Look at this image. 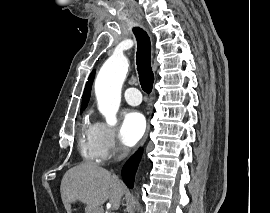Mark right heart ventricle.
Returning a JSON list of instances; mask_svg holds the SVG:
<instances>
[{
    "label": "right heart ventricle",
    "instance_id": "obj_1",
    "mask_svg": "<svg viewBox=\"0 0 270 213\" xmlns=\"http://www.w3.org/2000/svg\"><path fill=\"white\" fill-rule=\"evenodd\" d=\"M78 149L82 158L93 163L104 160V152L100 143L99 125L86 117L79 129Z\"/></svg>",
    "mask_w": 270,
    "mask_h": 213
}]
</instances>
